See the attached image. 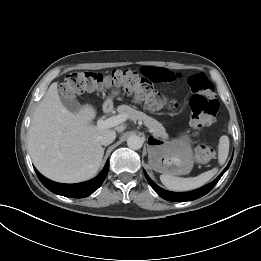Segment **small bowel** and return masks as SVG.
<instances>
[{
  "mask_svg": "<svg viewBox=\"0 0 261 261\" xmlns=\"http://www.w3.org/2000/svg\"><path fill=\"white\" fill-rule=\"evenodd\" d=\"M141 72L145 77L157 83H169L178 78V74L162 67H144Z\"/></svg>",
  "mask_w": 261,
  "mask_h": 261,
  "instance_id": "c3829d8e",
  "label": "small bowel"
}]
</instances>
